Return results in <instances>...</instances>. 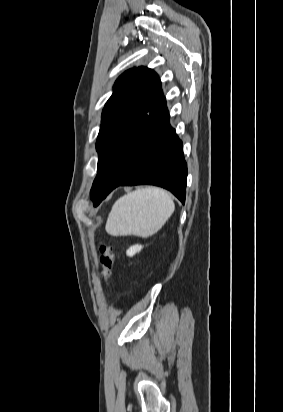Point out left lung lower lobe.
<instances>
[{"label": "left lung lower lobe", "mask_w": 283, "mask_h": 412, "mask_svg": "<svg viewBox=\"0 0 283 412\" xmlns=\"http://www.w3.org/2000/svg\"><path fill=\"white\" fill-rule=\"evenodd\" d=\"M130 161L127 157H114L105 150L99 154L95 181L100 183V193L93 200L95 206L118 186L140 184L163 187L184 204L187 165L182 142L169 124V115L156 126L151 142L135 168Z\"/></svg>", "instance_id": "0a47b994"}]
</instances>
